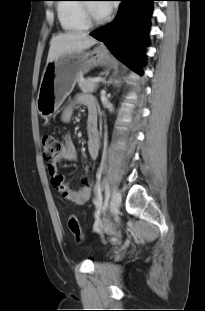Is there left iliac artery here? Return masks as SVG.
<instances>
[{"mask_svg": "<svg viewBox=\"0 0 205 311\" xmlns=\"http://www.w3.org/2000/svg\"><path fill=\"white\" fill-rule=\"evenodd\" d=\"M109 198H110V191H109L108 185L105 184V200H104V204H103V209H105L107 207ZM95 204L98 207H101V205H102V198H101V196H99V199L95 201Z\"/></svg>", "mask_w": 205, "mask_h": 311, "instance_id": "left-iliac-artery-1", "label": "left iliac artery"}]
</instances>
